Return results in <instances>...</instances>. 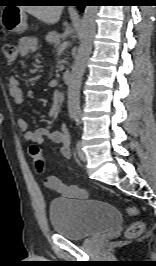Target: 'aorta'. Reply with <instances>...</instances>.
Returning a JSON list of instances; mask_svg holds the SVG:
<instances>
[{
  "label": "aorta",
  "mask_w": 156,
  "mask_h": 266,
  "mask_svg": "<svg viewBox=\"0 0 156 266\" xmlns=\"http://www.w3.org/2000/svg\"><path fill=\"white\" fill-rule=\"evenodd\" d=\"M98 6H86L82 20V38L68 81V112L71 117L80 114V88L87 62L92 53L96 32Z\"/></svg>",
  "instance_id": "762f6f07"
}]
</instances>
